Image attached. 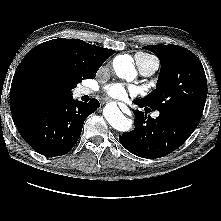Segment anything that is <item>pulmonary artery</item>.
<instances>
[{
    "label": "pulmonary artery",
    "mask_w": 221,
    "mask_h": 221,
    "mask_svg": "<svg viewBox=\"0 0 221 221\" xmlns=\"http://www.w3.org/2000/svg\"><path fill=\"white\" fill-rule=\"evenodd\" d=\"M135 62L138 67V70L141 75L148 77L155 73V71L158 69V61L153 58L149 60H144L140 58L139 56H135ZM81 94H88L90 93L89 89L83 88L80 91ZM156 116V114H155Z\"/></svg>",
    "instance_id": "pulmonary-artery-1"
}]
</instances>
